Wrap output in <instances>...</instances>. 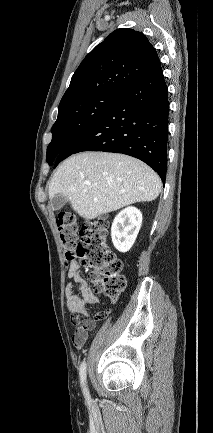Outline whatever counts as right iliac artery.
<instances>
[{
    "mask_svg": "<svg viewBox=\"0 0 213 433\" xmlns=\"http://www.w3.org/2000/svg\"><path fill=\"white\" fill-rule=\"evenodd\" d=\"M86 368H87L86 362L83 361L80 365L79 375H80V382H81V386H82L85 398L88 402H90L89 392H88V389L86 387Z\"/></svg>",
    "mask_w": 213,
    "mask_h": 433,
    "instance_id": "right-iliac-artery-1",
    "label": "right iliac artery"
}]
</instances>
